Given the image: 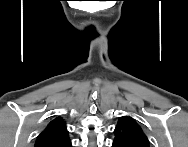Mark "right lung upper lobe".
I'll return each mask as SVG.
<instances>
[{"instance_id": "right-lung-upper-lobe-1", "label": "right lung upper lobe", "mask_w": 188, "mask_h": 147, "mask_svg": "<svg viewBox=\"0 0 188 147\" xmlns=\"http://www.w3.org/2000/svg\"><path fill=\"white\" fill-rule=\"evenodd\" d=\"M64 120L57 117L37 137L35 147H71Z\"/></svg>"}]
</instances>
